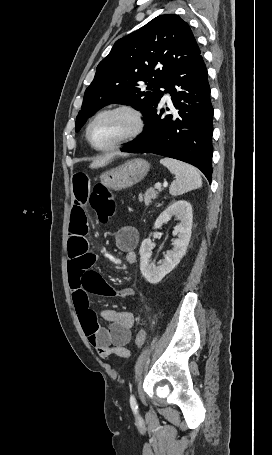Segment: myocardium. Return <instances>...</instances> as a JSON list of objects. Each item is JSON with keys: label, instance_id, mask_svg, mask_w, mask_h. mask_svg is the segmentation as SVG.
I'll use <instances>...</instances> for the list:
<instances>
[{"label": "myocardium", "instance_id": "obj_1", "mask_svg": "<svg viewBox=\"0 0 272 455\" xmlns=\"http://www.w3.org/2000/svg\"><path fill=\"white\" fill-rule=\"evenodd\" d=\"M110 113H125L132 119V128L131 130L118 141L107 147H97L91 139V128L94 123L103 115ZM145 127V120L142 112L135 106L128 103H119L107 106L99 110L89 121L86 127V139L90 146L96 151L100 152H110L122 147L125 144H128L135 139H137L143 132Z\"/></svg>", "mask_w": 272, "mask_h": 455}]
</instances>
